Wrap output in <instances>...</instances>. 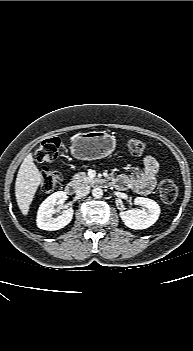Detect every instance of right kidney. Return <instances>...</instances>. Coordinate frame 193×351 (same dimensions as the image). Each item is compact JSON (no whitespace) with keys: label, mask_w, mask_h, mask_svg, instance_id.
<instances>
[{"label":"right kidney","mask_w":193,"mask_h":351,"mask_svg":"<svg viewBox=\"0 0 193 351\" xmlns=\"http://www.w3.org/2000/svg\"><path fill=\"white\" fill-rule=\"evenodd\" d=\"M67 198L68 196L66 192L58 191L50 195L42 202L38 209L36 219L37 226L40 229L55 231L64 228L71 222L74 214V210L72 208L64 210L62 215L56 218L52 217L53 214L56 213L54 206L63 204Z\"/></svg>","instance_id":"1"}]
</instances>
